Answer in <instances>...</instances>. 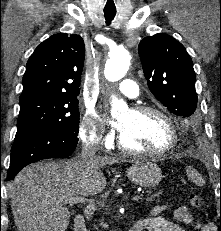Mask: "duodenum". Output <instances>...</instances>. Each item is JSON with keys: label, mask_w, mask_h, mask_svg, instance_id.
I'll use <instances>...</instances> for the list:
<instances>
[{"label": "duodenum", "mask_w": 221, "mask_h": 231, "mask_svg": "<svg viewBox=\"0 0 221 231\" xmlns=\"http://www.w3.org/2000/svg\"><path fill=\"white\" fill-rule=\"evenodd\" d=\"M74 230L86 231V223L83 215H77L74 218ZM128 231H141V228L134 224Z\"/></svg>", "instance_id": "duodenum-1"}]
</instances>
